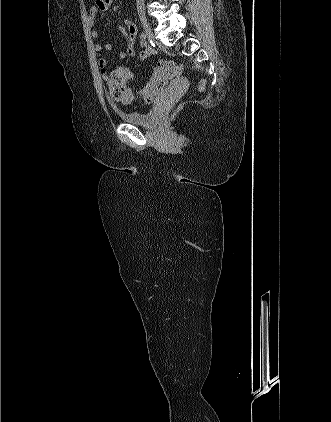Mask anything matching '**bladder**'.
Returning a JSON list of instances; mask_svg holds the SVG:
<instances>
[{
	"label": "bladder",
	"instance_id": "31cf9c89",
	"mask_svg": "<svg viewBox=\"0 0 331 422\" xmlns=\"http://www.w3.org/2000/svg\"><path fill=\"white\" fill-rule=\"evenodd\" d=\"M163 97L158 98L152 108L147 111H119L120 117L127 123L142 126L150 127L153 126L157 120L159 114V103L162 101Z\"/></svg>",
	"mask_w": 331,
	"mask_h": 422
}]
</instances>
